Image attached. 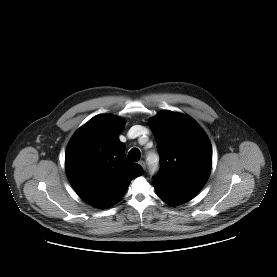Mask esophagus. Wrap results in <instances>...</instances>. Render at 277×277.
<instances>
[{
    "mask_svg": "<svg viewBox=\"0 0 277 277\" xmlns=\"http://www.w3.org/2000/svg\"><path fill=\"white\" fill-rule=\"evenodd\" d=\"M140 166L145 170L146 165L144 161H139Z\"/></svg>",
    "mask_w": 277,
    "mask_h": 277,
    "instance_id": "esophagus-1",
    "label": "esophagus"
}]
</instances>
